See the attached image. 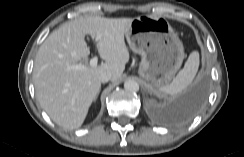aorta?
<instances>
[{
  "mask_svg": "<svg viewBox=\"0 0 244 157\" xmlns=\"http://www.w3.org/2000/svg\"><path fill=\"white\" fill-rule=\"evenodd\" d=\"M124 89L128 92H137L139 91V84L133 79H128L124 82Z\"/></svg>",
  "mask_w": 244,
  "mask_h": 157,
  "instance_id": "1",
  "label": "aorta"
}]
</instances>
